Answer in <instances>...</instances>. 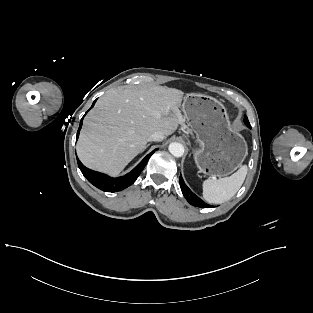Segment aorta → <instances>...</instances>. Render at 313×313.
<instances>
[{
    "label": "aorta",
    "instance_id": "aorta-1",
    "mask_svg": "<svg viewBox=\"0 0 313 313\" xmlns=\"http://www.w3.org/2000/svg\"><path fill=\"white\" fill-rule=\"evenodd\" d=\"M169 152L175 157H181L184 154V146L181 143L173 142L169 145Z\"/></svg>",
    "mask_w": 313,
    "mask_h": 313
}]
</instances>
